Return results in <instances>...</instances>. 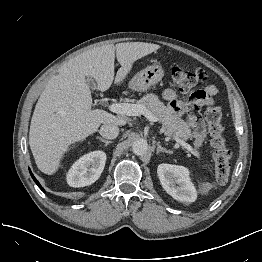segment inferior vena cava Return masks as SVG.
Instances as JSON below:
<instances>
[{
    "label": "inferior vena cava",
    "instance_id": "602c4592",
    "mask_svg": "<svg viewBox=\"0 0 262 262\" xmlns=\"http://www.w3.org/2000/svg\"><path fill=\"white\" fill-rule=\"evenodd\" d=\"M100 134L106 139H115L119 134V127L116 124H103L100 128Z\"/></svg>",
    "mask_w": 262,
    "mask_h": 262
}]
</instances>
